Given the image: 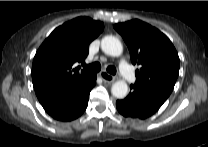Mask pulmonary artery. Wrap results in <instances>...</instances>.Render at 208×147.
I'll list each match as a JSON object with an SVG mask.
<instances>
[{"mask_svg":"<svg viewBox=\"0 0 208 147\" xmlns=\"http://www.w3.org/2000/svg\"><path fill=\"white\" fill-rule=\"evenodd\" d=\"M119 68H120L122 75L124 76V78L127 81H129V82L134 81V79H135L134 73L131 70L129 64L125 60H121V62L119 64Z\"/></svg>","mask_w":208,"mask_h":147,"instance_id":"1","label":"pulmonary artery"}]
</instances>
